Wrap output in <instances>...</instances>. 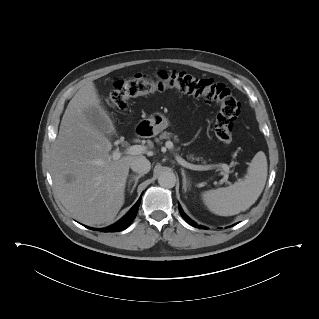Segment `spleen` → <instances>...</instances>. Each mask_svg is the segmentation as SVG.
<instances>
[{
	"mask_svg": "<svg viewBox=\"0 0 319 319\" xmlns=\"http://www.w3.org/2000/svg\"><path fill=\"white\" fill-rule=\"evenodd\" d=\"M267 179V159L259 151L253 157L247 177L226 188L209 190L202 194L208 209L220 216H232L249 209L261 195Z\"/></svg>",
	"mask_w": 319,
	"mask_h": 319,
	"instance_id": "3e777b00",
	"label": "spleen"
}]
</instances>
